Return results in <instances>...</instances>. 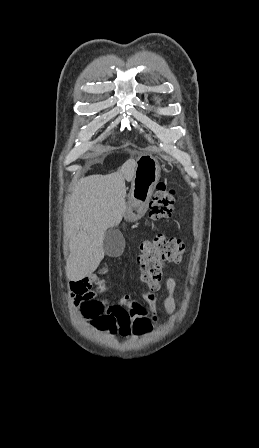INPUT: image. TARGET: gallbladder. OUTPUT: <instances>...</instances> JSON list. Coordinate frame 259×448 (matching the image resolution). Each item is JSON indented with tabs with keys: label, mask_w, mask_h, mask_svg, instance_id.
<instances>
[{
	"label": "gallbladder",
	"mask_w": 259,
	"mask_h": 448,
	"mask_svg": "<svg viewBox=\"0 0 259 448\" xmlns=\"http://www.w3.org/2000/svg\"><path fill=\"white\" fill-rule=\"evenodd\" d=\"M103 250L107 256L111 258H117L124 252V240L122 234L118 230H108L103 240Z\"/></svg>",
	"instance_id": "gallbladder-1"
}]
</instances>
